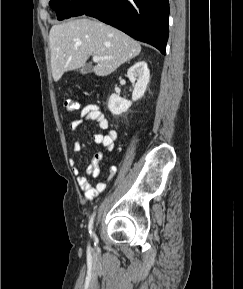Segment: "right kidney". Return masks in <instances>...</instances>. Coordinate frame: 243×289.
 <instances>
[{"label":"right kidney","mask_w":243,"mask_h":289,"mask_svg":"<svg viewBox=\"0 0 243 289\" xmlns=\"http://www.w3.org/2000/svg\"><path fill=\"white\" fill-rule=\"evenodd\" d=\"M129 80L134 85L132 101L143 97L150 79V71L145 61H138L127 71ZM132 101L122 99L117 94H112L108 101V109L113 115H120L126 112L132 105Z\"/></svg>","instance_id":"right-kidney-1"}]
</instances>
